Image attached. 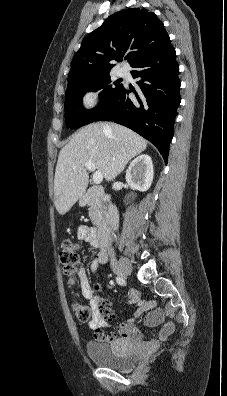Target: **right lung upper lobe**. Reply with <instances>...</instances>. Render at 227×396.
Masks as SVG:
<instances>
[{
	"label": "right lung upper lobe",
	"instance_id": "right-lung-upper-lobe-1",
	"mask_svg": "<svg viewBox=\"0 0 227 396\" xmlns=\"http://www.w3.org/2000/svg\"><path fill=\"white\" fill-rule=\"evenodd\" d=\"M170 41L155 13L129 8L111 15L88 34L75 54L68 75V86L105 75L126 54L130 65L147 52Z\"/></svg>",
	"mask_w": 227,
	"mask_h": 396
}]
</instances>
